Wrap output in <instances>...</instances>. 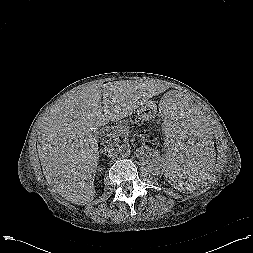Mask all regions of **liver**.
Segmentation results:
<instances>
[{
	"label": "liver",
	"mask_w": 253,
	"mask_h": 253,
	"mask_svg": "<svg viewBox=\"0 0 253 253\" xmlns=\"http://www.w3.org/2000/svg\"><path fill=\"white\" fill-rule=\"evenodd\" d=\"M156 94L146 83L93 84L58 103L40 124L38 154L47 182L67 201L95 198L99 148L94 130L132 115Z\"/></svg>",
	"instance_id": "1"
}]
</instances>
